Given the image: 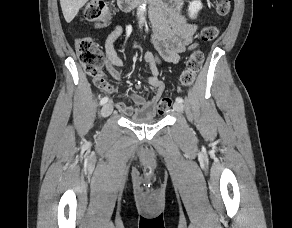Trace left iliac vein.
<instances>
[{"label": "left iliac vein", "mask_w": 292, "mask_h": 228, "mask_svg": "<svg viewBox=\"0 0 292 228\" xmlns=\"http://www.w3.org/2000/svg\"><path fill=\"white\" fill-rule=\"evenodd\" d=\"M174 110L182 113L184 111V105L181 102H175L173 105Z\"/></svg>", "instance_id": "obj_1"}]
</instances>
